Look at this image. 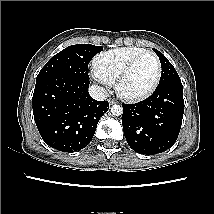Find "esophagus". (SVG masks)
I'll list each match as a JSON object with an SVG mask.
<instances>
[{
    "label": "esophagus",
    "instance_id": "1",
    "mask_svg": "<svg viewBox=\"0 0 214 214\" xmlns=\"http://www.w3.org/2000/svg\"><path fill=\"white\" fill-rule=\"evenodd\" d=\"M115 103H117L116 100H114V99H109V104H110V105H113V104H115Z\"/></svg>",
    "mask_w": 214,
    "mask_h": 214
}]
</instances>
